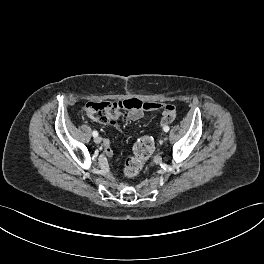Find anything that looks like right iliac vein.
I'll return each instance as SVG.
<instances>
[{"label": "right iliac vein", "mask_w": 264, "mask_h": 264, "mask_svg": "<svg viewBox=\"0 0 264 264\" xmlns=\"http://www.w3.org/2000/svg\"><path fill=\"white\" fill-rule=\"evenodd\" d=\"M94 142H95L96 144H99V143L102 142V138L99 137V136H97V137L94 138Z\"/></svg>", "instance_id": "1"}]
</instances>
